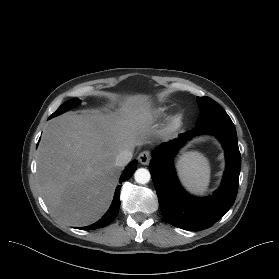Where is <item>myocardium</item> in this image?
I'll return each mask as SVG.
<instances>
[{"label":"myocardium","mask_w":279,"mask_h":279,"mask_svg":"<svg viewBox=\"0 0 279 279\" xmlns=\"http://www.w3.org/2000/svg\"><path fill=\"white\" fill-rule=\"evenodd\" d=\"M181 123V117L179 115H175L171 118L170 124L173 128H176Z\"/></svg>","instance_id":"myocardium-1"}]
</instances>
